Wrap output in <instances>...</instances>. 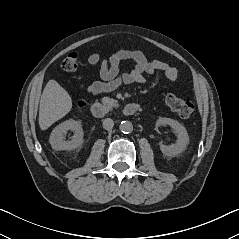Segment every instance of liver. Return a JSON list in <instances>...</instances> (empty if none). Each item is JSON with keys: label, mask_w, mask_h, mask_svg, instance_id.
<instances>
[{"label": "liver", "mask_w": 239, "mask_h": 239, "mask_svg": "<svg viewBox=\"0 0 239 239\" xmlns=\"http://www.w3.org/2000/svg\"><path fill=\"white\" fill-rule=\"evenodd\" d=\"M72 108V99L60 84L51 79L46 84L40 99L39 126L41 130L48 129L63 118Z\"/></svg>", "instance_id": "1"}]
</instances>
